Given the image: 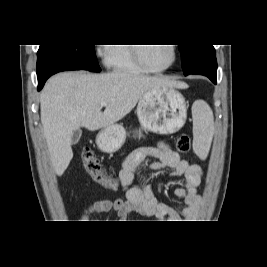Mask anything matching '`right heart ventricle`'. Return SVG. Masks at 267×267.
<instances>
[{"label": "right heart ventricle", "mask_w": 267, "mask_h": 267, "mask_svg": "<svg viewBox=\"0 0 267 267\" xmlns=\"http://www.w3.org/2000/svg\"><path fill=\"white\" fill-rule=\"evenodd\" d=\"M110 46L109 65L116 72L144 73L146 70L134 59L132 47L124 44Z\"/></svg>", "instance_id": "right-heart-ventricle-1"}]
</instances>
